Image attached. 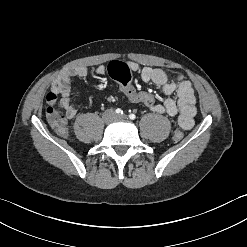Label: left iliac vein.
Segmentation results:
<instances>
[{
  "instance_id": "4c4485c4",
  "label": "left iliac vein",
  "mask_w": 247,
  "mask_h": 247,
  "mask_svg": "<svg viewBox=\"0 0 247 247\" xmlns=\"http://www.w3.org/2000/svg\"><path fill=\"white\" fill-rule=\"evenodd\" d=\"M126 115H123V116H117V119H126Z\"/></svg>"
}]
</instances>
